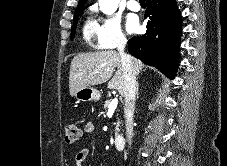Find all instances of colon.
<instances>
[{"mask_svg": "<svg viewBox=\"0 0 227 166\" xmlns=\"http://www.w3.org/2000/svg\"><path fill=\"white\" fill-rule=\"evenodd\" d=\"M65 139L68 143H75L82 139L80 129L72 122H68L64 126Z\"/></svg>", "mask_w": 227, "mask_h": 166, "instance_id": "obj_1", "label": "colon"}]
</instances>
